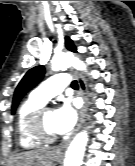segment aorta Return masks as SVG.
Segmentation results:
<instances>
[{
  "instance_id": "aorta-1",
  "label": "aorta",
  "mask_w": 135,
  "mask_h": 166,
  "mask_svg": "<svg viewBox=\"0 0 135 166\" xmlns=\"http://www.w3.org/2000/svg\"><path fill=\"white\" fill-rule=\"evenodd\" d=\"M68 67H74L80 71L86 70L83 61L68 53L56 55L51 61L53 71L65 70ZM87 141L88 133L86 131H81L74 137L66 152L64 166H81Z\"/></svg>"
}]
</instances>
